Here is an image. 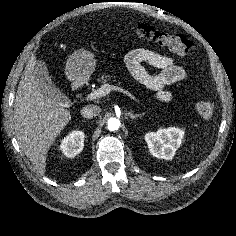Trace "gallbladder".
<instances>
[{"label":"gallbladder","mask_w":236,"mask_h":236,"mask_svg":"<svg viewBox=\"0 0 236 236\" xmlns=\"http://www.w3.org/2000/svg\"><path fill=\"white\" fill-rule=\"evenodd\" d=\"M33 72L36 81L40 85L41 92L55 99L57 102L63 103L64 94L53 83L46 64L41 60H37Z\"/></svg>","instance_id":"1"}]
</instances>
